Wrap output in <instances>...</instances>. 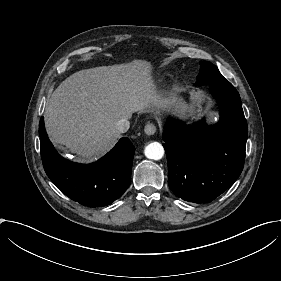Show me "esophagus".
<instances>
[{
    "instance_id": "obj_1",
    "label": "esophagus",
    "mask_w": 281,
    "mask_h": 281,
    "mask_svg": "<svg viewBox=\"0 0 281 281\" xmlns=\"http://www.w3.org/2000/svg\"><path fill=\"white\" fill-rule=\"evenodd\" d=\"M144 132L149 136L155 134L156 132L155 125L153 123H147L144 127Z\"/></svg>"
}]
</instances>
